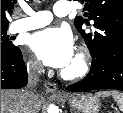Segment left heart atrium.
<instances>
[{
  "mask_svg": "<svg viewBox=\"0 0 123 113\" xmlns=\"http://www.w3.org/2000/svg\"><path fill=\"white\" fill-rule=\"evenodd\" d=\"M28 44L37 58L47 66L66 68L73 60L74 41L67 29H44L30 36Z\"/></svg>",
  "mask_w": 123,
  "mask_h": 113,
  "instance_id": "obj_1",
  "label": "left heart atrium"
}]
</instances>
